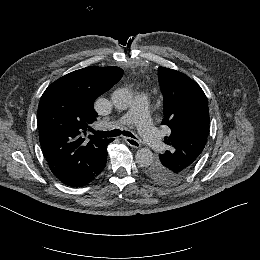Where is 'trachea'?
<instances>
[{"label": "trachea", "mask_w": 260, "mask_h": 260, "mask_svg": "<svg viewBox=\"0 0 260 260\" xmlns=\"http://www.w3.org/2000/svg\"><path fill=\"white\" fill-rule=\"evenodd\" d=\"M93 134L100 137V138H107V137H116V136H120L121 134L127 137H131V138H135V136L128 132V131H121L119 129H115V130H111V131H93Z\"/></svg>", "instance_id": "1"}]
</instances>
